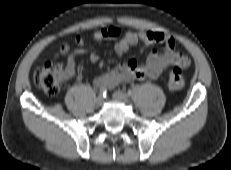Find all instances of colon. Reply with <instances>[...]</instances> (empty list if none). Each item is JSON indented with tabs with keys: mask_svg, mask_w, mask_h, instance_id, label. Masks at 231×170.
Instances as JSON below:
<instances>
[{
	"mask_svg": "<svg viewBox=\"0 0 231 170\" xmlns=\"http://www.w3.org/2000/svg\"><path fill=\"white\" fill-rule=\"evenodd\" d=\"M66 50V48H65ZM65 70L48 61L34 72V82L45 94L55 96L60 91V84L65 79ZM184 76L180 67H174L168 76V87L179 91L184 87Z\"/></svg>",
	"mask_w": 231,
	"mask_h": 170,
	"instance_id": "1",
	"label": "colon"
}]
</instances>
